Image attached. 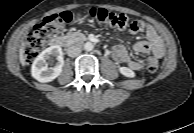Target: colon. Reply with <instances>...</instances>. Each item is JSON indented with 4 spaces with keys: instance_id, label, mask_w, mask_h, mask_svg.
I'll list each match as a JSON object with an SVG mask.
<instances>
[{
    "instance_id": "colon-1",
    "label": "colon",
    "mask_w": 194,
    "mask_h": 133,
    "mask_svg": "<svg viewBox=\"0 0 194 133\" xmlns=\"http://www.w3.org/2000/svg\"><path fill=\"white\" fill-rule=\"evenodd\" d=\"M89 15L104 25L124 30L130 22L128 17L122 13L110 12L103 8H92L88 11ZM71 14L63 12L45 18L40 24L36 25L29 34L24 45V58L30 64L53 37L71 21ZM146 68L150 73L158 69L157 60L147 61Z\"/></svg>"
}]
</instances>
